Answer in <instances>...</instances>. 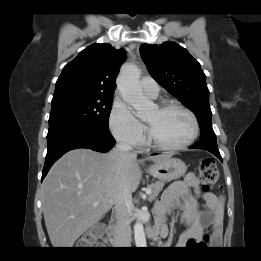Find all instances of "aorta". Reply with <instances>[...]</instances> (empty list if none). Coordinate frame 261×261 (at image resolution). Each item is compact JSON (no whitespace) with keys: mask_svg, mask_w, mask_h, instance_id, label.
Instances as JSON below:
<instances>
[{"mask_svg":"<svg viewBox=\"0 0 261 261\" xmlns=\"http://www.w3.org/2000/svg\"><path fill=\"white\" fill-rule=\"evenodd\" d=\"M140 70L135 64H125L122 66L117 82L121 97L131 105L137 116L148 111L153 103L144 96L139 84ZM134 238L137 248H145L146 237L143 224L137 221L134 225Z\"/></svg>","mask_w":261,"mask_h":261,"instance_id":"aorta-1","label":"aorta"}]
</instances>
